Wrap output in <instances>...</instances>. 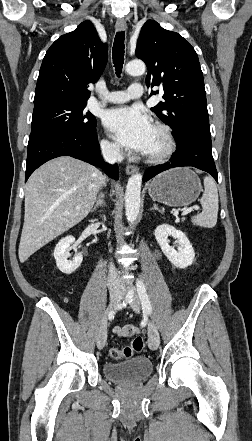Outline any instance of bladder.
I'll list each match as a JSON object with an SVG mask.
<instances>
[{
	"mask_svg": "<svg viewBox=\"0 0 252 441\" xmlns=\"http://www.w3.org/2000/svg\"><path fill=\"white\" fill-rule=\"evenodd\" d=\"M152 361L145 356H134L118 363L103 365L104 376L118 384H133L145 380L152 373Z\"/></svg>",
	"mask_w": 252,
	"mask_h": 441,
	"instance_id": "bladder-1",
	"label": "bladder"
}]
</instances>
